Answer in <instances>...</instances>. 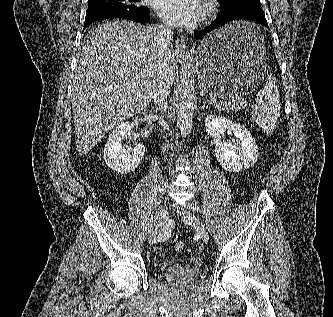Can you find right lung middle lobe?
Masks as SVG:
<instances>
[{
  "mask_svg": "<svg viewBox=\"0 0 333 317\" xmlns=\"http://www.w3.org/2000/svg\"><path fill=\"white\" fill-rule=\"evenodd\" d=\"M147 7L141 5V0H88L86 14H98L102 12H132L146 11Z\"/></svg>",
  "mask_w": 333,
  "mask_h": 317,
  "instance_id": "obj_1",
  "label": "right lung middle lobe"
}]
</instances>
